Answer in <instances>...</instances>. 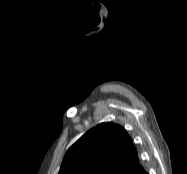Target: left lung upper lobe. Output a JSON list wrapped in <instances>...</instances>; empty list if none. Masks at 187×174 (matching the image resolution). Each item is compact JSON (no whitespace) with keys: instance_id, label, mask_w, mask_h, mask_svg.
Here are the masks:
<instances>
[{"instance_id":"1","label":"left lung upper lobe","mask_w":187,"mask_h":174,"mask_svg":"<svg viewBox=\"0 0 187 174\" xmlns=\"http://www.w3.org/2000/svg\"><path fill=\"white\" fill-rule=\"evenodd\" d=\"M142 170L126 130L101 123L68 149L58 174H137Z\"/></svg>"}]
</instances>
